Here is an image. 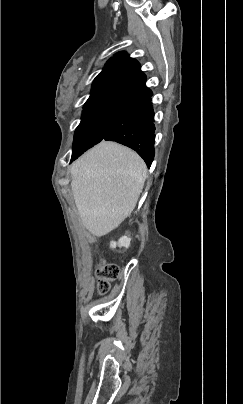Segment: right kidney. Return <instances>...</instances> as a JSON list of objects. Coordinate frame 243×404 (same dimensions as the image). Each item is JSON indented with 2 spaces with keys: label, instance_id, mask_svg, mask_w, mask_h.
I'll return each mask as SVG.
<instances>
[{
  "label": "right kidney",
  "instance_id": "ca27d5eb",
  "mask_svg": "<svg viewBox=\"0 0 243 404\" xmlns=\"http://www.w3.org/2000/svg\"><path fill=\"white\" fill-rule=\"evenodd\" d=\"M131 242V238L128 236H122L118 242H110V248H129Z\"/></svg>",
  "mask_w": 243,
  "mask_h": 404
}]
</instances>
